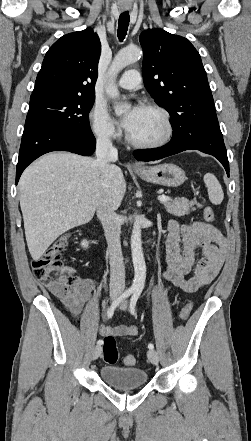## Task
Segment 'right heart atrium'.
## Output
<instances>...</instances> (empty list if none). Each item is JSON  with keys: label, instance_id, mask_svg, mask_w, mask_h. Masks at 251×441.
<instances>
[{"label": "right heart atrium", "instance_id": "obj_1", "mask_svg": "<svg viewBox=\"0 0 251 441\" xmlns=\"http://www.w3.org/2000/svg\"><path fill=\"white\" fill-rule=\"evenodd\" d=\"M91 128L94 135L103 141H111L119 136L115 122L104 105L96 103L90 112Z\"/></svg>", "mask_w": 251, "mask_h": 441}]
</instances>
